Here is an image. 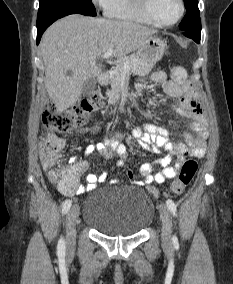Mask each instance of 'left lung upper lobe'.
<instances>
[{"label":"left lung upper lobe","mask_w":233,"mask_h":284,"mask_svg":"<svg viewBox=\"0 0 233 284\" xmlns=\"http://www.w3.org/2000/svg\"><path fill=\"white\" fill-rule=\"evenodd\" d=\"M188 12L181 21L179 28L182 31L201 32L198 0H184Z\"/></svg>","instance_id":"1"}]
</instances>
